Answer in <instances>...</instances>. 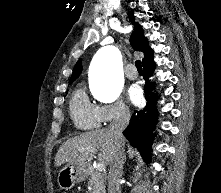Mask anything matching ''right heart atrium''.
I'll use <instances>...</instances> for the list:
<instances>
[{"label":"right heart atrium","mask_w":221,"mask_h":193,"mask_svg":"<svg viewBox=\"0 0 221 193\" xmlns=\"http://www.w3.org/2000/svg\"><path fill=\"white\" fill-rule=\"evenodd\" d=\"M99 112L101 123L105 125L130 117V109L122 100L99 106Z\"/></svg>","instance_id":"right-heart-atrium-1"}]
</instances>
